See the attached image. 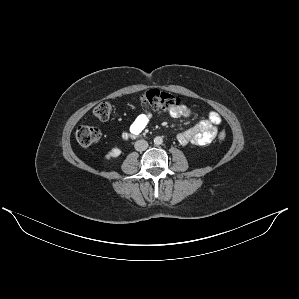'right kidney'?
<instances>
[{
	"instance_id": "ca27d5eb",
	"label": "right kidney",
	"mask_w": 299,
	"mask_h": 299,
	"mask_svg": "<svg viewBox=\"0 0 299 299\" xmlns=\"http://www.w3.org/2000/svg\"><path fill=\"white\" fill-rule=\"evenodd\" d=\"M121 149H119V148H113V149H111V151H109L106 155H105V158L106 159H110V158H116V157H118L120 154H121Z\"/></svg>"
}]
</instances>
